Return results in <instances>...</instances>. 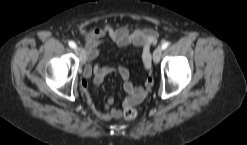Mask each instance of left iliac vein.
I'll return each instance as SVG.
<instances>
[{
  "label": "left iliac vein",
  "mask_w": 247,
  "mask_h": 145,
  "mask_svg": "<svg viewBox=\"0 0 247 145\" xmlns=\"http://www.w3.org/2000/svg\"><path fill=\"white\" fill-rule=\"evenodd\" d=\"M163 49L161 46H158L153 53V61L154 63H158L160 61V58L162 56Z\"/></svg>",
  "instance_id": "1"
}]
</instances>
